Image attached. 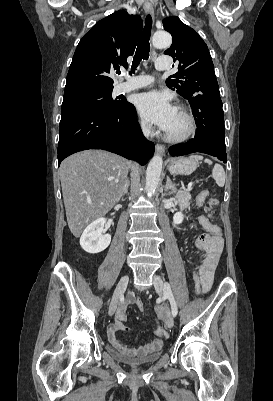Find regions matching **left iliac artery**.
<instances>
[{
  "label": "left iliac artery",
  "mask_w": 273,
  "mask_h": 401,
  "mask_svg": "<svg viewBox=\"0 0 273 401\" xmlns=\"http://www.w3.org/2000/svg\"><path fill=\"white\" fill-rule=\"evenodd\" d=\"M164 292L166 294V297L170 301L172 314H173V316H176L178 313L177 304H176L175 298L172 294L170 284L167 282L164 284Z\"/></svg>",
  "instance_id": "left-iliac-artery-1"
}]
</instances>
